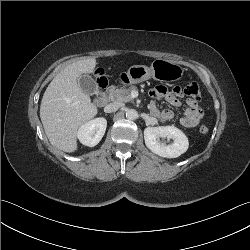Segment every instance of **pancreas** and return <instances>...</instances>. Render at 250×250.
<instances>
[{
  "label": "pancreas",
  "mask_w": 250,
  "mask_h": 250,
  "mask_svg": "<svg viewBox=\"0 0 250 250\" xmlns=\"http://www.w3.org/2000/svg\"><path fill=\"white\" fill-rule=\"evenodd\" d=\"M135 86H130L128 88L121 87L119 89L112 90L110 92V97L113 101L116 102H134L133 98L131 97V92L136 90Z\"/></svg>",
  "instance_id": "cf45deb5"
}]
</instances>
